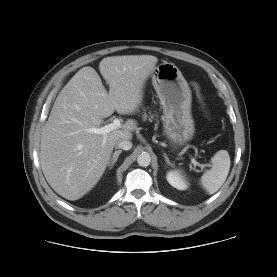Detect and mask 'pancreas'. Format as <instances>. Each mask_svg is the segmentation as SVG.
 I'll return each mask as SVG.
<instances>
[{
	"label": "pancreas",
	"instance_id": "cf45deb5",
	"mask_svg": "<svg viewBox=\"0 0 277 277\" xmlns=\"http://www.w3.org/2000/svg\"><path fill=\"white\" fill-rule=\"evenodd\" d=\"M142 110H143V112H142V120L143 121H146V120H150L151 121L152 119H154V114L153 113L148 112V114H147L145 108H143Z\"/></svg>",
	"mask_w": 277,
	"mask_h": 277
}]
</instances>
